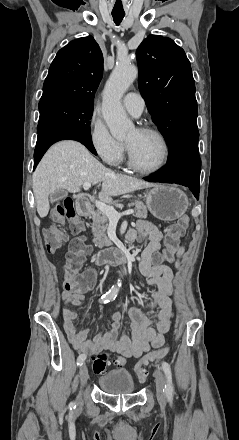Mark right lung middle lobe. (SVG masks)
Returning <instances> with one entry per match:
<instances>
[{
  "instance_id": "1",
  "label": "right lung middle lobe",
  "mask_w": 239,
  "mask_h": 440,
  "mask_svg": "<svg viewBox=\"0 0 239 440\" xmlns=\"http://www.w3.org/2000/svg\"><path fill=\"white\" fill-rule=\"evenodd\" d=\"M37 132L51 127H71L90 133L93 105L75 99H52L39 103Z\"/></svg>"
}]
</instances>
